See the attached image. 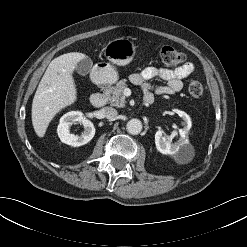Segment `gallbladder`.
Masks as SVG:
<instances>
[{
	"mask_svg": "<svg viewBox=\"0 0 247 247\" xmlns=\"http://www.w3.org/2000/svg\"><path fill=\"white\" fill-rule=\"evenodd\" d=\"M92 66H93V62L91 58L85 57L84 59H82L81 61L77 63L76 71L79 75L84 76V75H87L91 71Z\"/></svg>",
	"mask_w": 247,
	"mask_h": 247,
	"instance_id": "bac80fb5",
	"label": "gallbladder"
}]
</instances>
